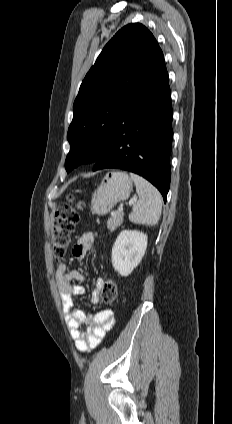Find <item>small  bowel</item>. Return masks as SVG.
Listing matches in <instances>:
<instances>
[{"instance_id":"small-bowel-1","label":"small bowel","mask_w":232,"mask_h":424,"mask_svg":"<svg viewBox=\"0 0 232 424\" xmlns=\"http://www.w3.org/2000/svg\"><path fill=\"white\" fill-rule=\"evenodd\" d=\"M95 240L91 234L82 235L72 249L73 256L77 260H83L87 253L94 247ZM85 276L78 270H69L62 263L57 267L55 281L61 299L62 312L68 326L75 348L79 352H88L99 346L105 334L114 325L112 309H103L92 315L74 306V299L85 294V287L74 282H82ZM104 283L102 278L95 282V288L91 292L90 299L93 304L99 303V292ZM88 324L83 329L82 325Z\"/></svg>"}]
</instances>
